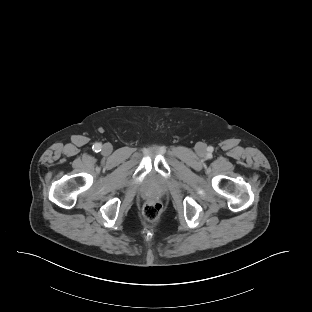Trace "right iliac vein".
Returning a JSON list of instances; mask_svg holds the SVG:
<instances>
[{
  "label": "right iliac vein",
  "mask_w": 312,
  "mask_h": 312,
  "mask_svg": "<svg viewBox=\"0 0 312 312\" xmlns=\"http://www.w3.org/2000/svg\"><path fill=\"white\" fill-rule=\"evenodd\" d=\"M102 152L104 154H110L112 152V146L110 144L103 145Z\"/></svg>",
  "instance_id": "63e3f726"
}]
</instances>
